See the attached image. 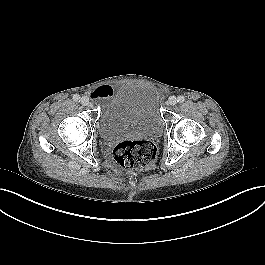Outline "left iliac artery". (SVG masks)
<instances>
[{"label": "left iliac artery", "mask_w": 265, "mask_h": 265, "mask_svg": "<svg viewBox=\"0 0 265 265\" xmlns=\"http://www.w3.org/2000/svg\"><path fill=\"white\" fill-rule=\"evenodd\" d=\"M185 101V97L184 96H179L178 98H177V102H179V103H182V102H184Z\"/></svg>", "instance_id": "obj_1"}]
</instances>
